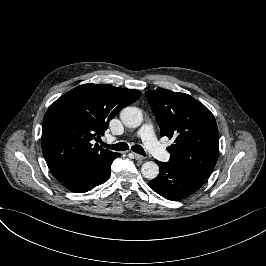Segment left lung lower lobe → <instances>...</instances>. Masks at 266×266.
Instances as JSON below:
<instances>
[{
  "label": "left lung lower lobe",
  "mask_w": 266,
  "mask_h": 266,
  "mask_svg": "<svg viewBox=\"0 0 266 266\" xmlns=\"http://www.w3.org/2000/svg\"><path fill=\"white\" fill-rule=\"evenodd\" d=\"M160 167L159 175L151 180L148 185L162 197L177 201L184 199L196 192L203 184L202 176L172 165L156 161Z\"/></svg>",
  "instance_id": "obj_1"
}]
</instances>
